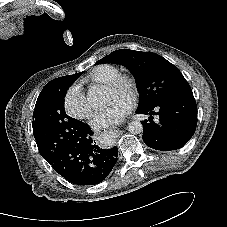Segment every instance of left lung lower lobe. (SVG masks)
Returning a JSON list of instances; mask_svg holds the SVG:
<instances>
[{
    "label": "left lung lower lobe",
    "mask_w": 227,
    "mask_h": 227,
    "mask_svg": "<svg viewBox=\"0 0 227 227\" xmlns=\"http://www.w3.org/2000/svg\"><path fill=\"white\" fill-rule=\"evenodd\" d=\"M137 114L150 115L142 121L143 141L153 149L170 151L181 148L193 136L197 125V105L193 95L159 101L138 108ZM159 116V123L153 121Z\"/></svg>",
    "instance_id": "0a47b994"
}]
</instances>
